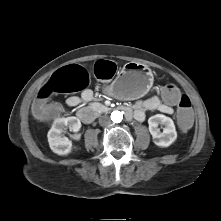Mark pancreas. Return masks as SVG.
Instances as JSON below:
<instances>
[{
	"label": "pancreas",
	"mask_w": 221,
	"mask_h": 221,
	"mask_svg": "<svg viewBox=\"0 0 221 221\" xmlns=\"http://www.w3.org/2000/svg\"><path fill=\"white\" fill-rule=\"evenodd\" d=\"M90 107L92 108V110L96 111V112H102L105 109H107L103 104L94 102L90 105Z\"/></svg>",
	"instance_id": "pancreas-1"
}]
</instances>
